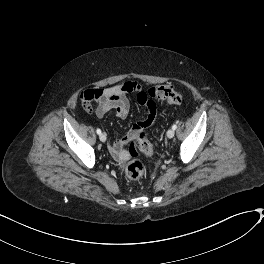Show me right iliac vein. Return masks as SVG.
Segmentation results:
<instances>
[{
	"label": "right iliac vein",
	"instance_id": "right-iliac-vein-1",
	"mask_svg": "<svg viewBox=\"0 0 264 264\" xmlns=\"http://www.w3.org/2000/svg\"><path fill=\"white\" fill-rule=\"evenodd\" d=\"M99 139L102 141V142H105L106 141V135L104 133H101L99 135Z\"/></svg>",
	"mask_w": 264,
	"mask_h": 264
}]
</instances>
